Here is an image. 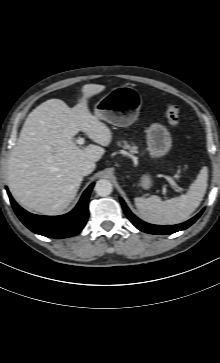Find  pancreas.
<instances>
[{"instance_id": "1", "label": "pancreas", "mask_w": 220, "mask_h": 363, "mask_svg": "<svg viewBox=\"0 0 220 363\" xmlns=\"http://www.w3.org/2000/svg\"><path fill=\"white\" fill-rule=\"evenodd\" d=\"M118 145H121V143L120 142H118ZM123 147L125 148V149H128V150H130V152L131 153H133V154H138L139 152H138V147L137 146H130L127 142H125V141H123Z\"/></svg>"}]
</instances>
